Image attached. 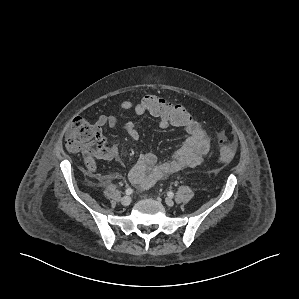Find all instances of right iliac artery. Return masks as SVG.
<instances>
[{"instance_id": "1", "label": "right iliac artery", "mask_w": 299, "mask_h": 299, "mask_svg": "<svg viewBox=\"0 0 299 299\" xmlns=\"http://www.w3.org/2000/svg\"><path fill=\"white\" fill-rule=\"evenodd\" d=\"M125 193L127 195H131L133 193V189L132 188H127L126 191H125Z\"/></svg>"}]
</instances>
